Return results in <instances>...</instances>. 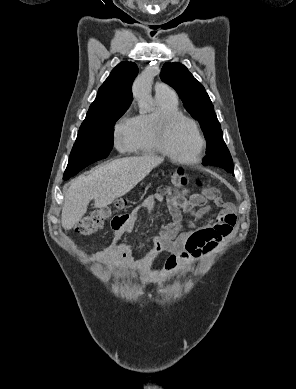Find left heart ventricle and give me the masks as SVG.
<instances>
[{"instance_id":"b2bd125f","label":"left heart ventricle","mask_w":296,"mask_h":389,"mask_svg":"<svg viewBox=\"0 0 296 389\" xmlns=\"http://www.w3.org/2000/svg\"><path fill=\"white\" fill-rule=\"evenodd\" d=\"M169 146L179 158H194L199 148V139L194 127L184 120L176 122L170 131Z\"/></svg>"}]
</instances>
